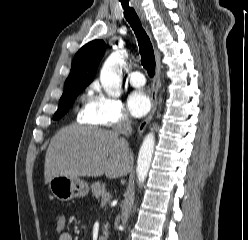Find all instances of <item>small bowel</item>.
Segmentation results:
<instances>
[{"instance_id": "1", "label": "small bowel", "mask_w": 248, "mask_h": 240, "mask_svg": "<svg viewBox=\"0 0 248 240\" xmlns=\"http://www.w3.org/2000/svg\"><path fill=\"white\" fill-rule=\"evenodd\" d=\"M58 240H73V237L71 233L65 231L59 235Z\"/></svg>"}]
</instances>
